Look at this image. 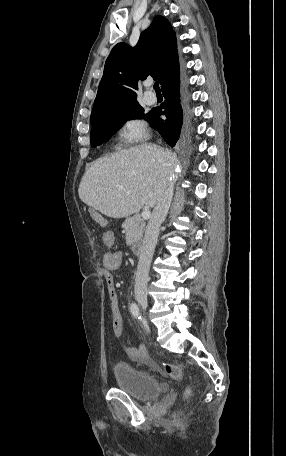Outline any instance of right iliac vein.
Instances as JSON below:
<instances>
[{
    "mask_svg": "<svg viewBox=\"0 0 286 456\" xmlns=\"http://www.w3.org/2000/svg\"><path fill=\"white\" fill-rule=\"evenodd\" d=\"M136 300L137 302L139 303V305L144 309L146 310L147 307H148V301H147V298L145 296H142V295H139L136 297Z\"/></svg>",
    "mask_w": 286,
    "mask_h": 456,
    "instance_id": "right-iliac-vein-1",
    "label": "right iliac vein"
}]
</instances>
